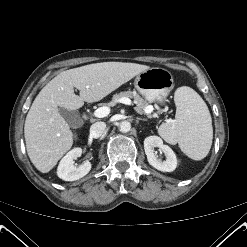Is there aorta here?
Returning <instances> with one entry per match:
<instances>
[{"mask_svg":"<svg viewBox=\"0 0 247 247\" xmlns=\"http://www.w3.org/2000/svg\"><path fill=\"white\" fill-rule=\"evenodd\" d=\"M119 128H120V131H121V132L127 133V132H129L130 129H131V124H130V122H128V121H122V122L120 123Z\"/></svg>","mask_w":247,"mask_h":247,"instance_id":"1","label":"aorta"}]
</instances>
